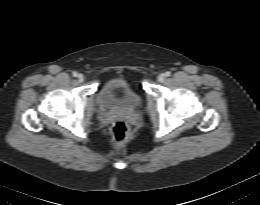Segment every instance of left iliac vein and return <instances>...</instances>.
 <instances>
[{
	"label": "left iliac vein",
	"mask_w": 260,
	"mask_h": 205,
	"mask_svg": "<svg viewBox=\"0 0 260 205\" xmlns=\"http://www.w3.org/2000/svg\"><path fill=\"white\" fill-rule=\"evenodd\" d=\"M164 79H165V75H164V74H160V75L158 76V81H159V82H163Z\"/></svg>",
	"instance_id": "obj_1"
}]
</instances>
